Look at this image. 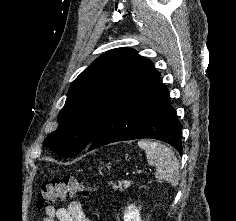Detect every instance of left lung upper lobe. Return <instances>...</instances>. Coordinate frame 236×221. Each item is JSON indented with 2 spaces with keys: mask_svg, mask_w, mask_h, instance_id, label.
Masks as SVG:
<instances>
[{
  "mask_svg": "<svg viewBox=\"0 0 236 221\" xmlns=\"http://www.w3.org/2000/svg\"><path fill=\"white\" fill-rule=\"evenodd\" d=\"M133 49L106 52L72 83L58 128L44 140L59 156L74 157L94 139L110 113L154 71Z\"/></svg>",
  "mask_w": 236,
  "mask_h": 221,
  "instance_id": "1",
  "label": "left lung upper lobe"
}]
</instances>
